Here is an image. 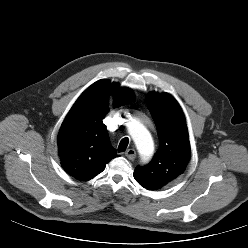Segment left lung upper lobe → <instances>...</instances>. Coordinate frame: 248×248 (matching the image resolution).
Here are the masks:
<instances>
[{
	"label": "left lung upper lobe",
	"instance_id": "left-lung-upper-lobe-1",
	"mask_svg": "<svg viewBox=\"0 0 248 248\" xmlns=\"http://www.w3.org/2000/svg\"><path fill=\"white\" fill-rule=\"evenodd\" d=\"M147 105L160 144L150 163L135 168L134 178L147 190H157L184 173L191 150L185 116L174 97L153 92L147 97Z\"/></svg>",
	"mask_w": 248,
	"mask_h": 248
}]
</instances>
